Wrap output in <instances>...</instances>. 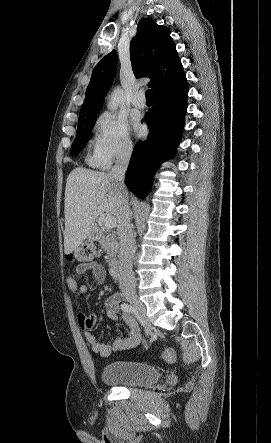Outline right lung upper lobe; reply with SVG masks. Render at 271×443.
I'll return each mask as SVG.
<instances>
[{
  "label": "right lung upper lobe",
  "mask_w": 271,
  "mask_h": 443,
  "mask_svg": "<svg viewBox=\"0 0 271 443\" xmlns=\"http://www.w3.org/2000/svg\"><path fill=\"white\" fill-rule=\"evenodd\" d=\"M130 58L136 77L151 78L148 86L153 89V94L185 78L169 28L157 25L151 18L138 23L137 34L130 43ZM116 68L117 54L113 50L92 72L79 119L98 115Z\"/></svg>",
  "instance_id": "1"
}]
</instances>
